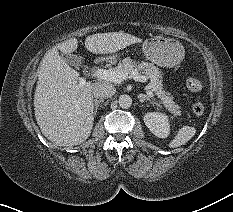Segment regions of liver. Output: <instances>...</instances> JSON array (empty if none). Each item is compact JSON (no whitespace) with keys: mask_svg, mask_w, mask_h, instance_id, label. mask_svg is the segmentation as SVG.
Instances as JSON below:
<instances>
[{"mask_svg":"<svg viewBox=\"0 0 233 212\" xmlns=\"http://www.w3.org/2000/svg\"><path fill=\"white\" fill-rule=\"evenodd\" d=\"M141 41L123 32L98 33L85 39V47L95 54H111ZM77 48L76 38L59 43L46 53L38 68L35 118L42 134L57 146L83 143L93 127L92 83L80 84L79 73L59 55V51L71 53Z\"/></svg>","mask_w":233,"mask_h":212,"instance_id":"liver-1","label":"liver"}]
</instances>
